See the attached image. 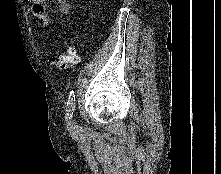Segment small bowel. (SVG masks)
<instances>
[{"instance_id":"small-bowel-1","label":"small bowel","mask_w":221,"mask_h":174,"mask_svg":"<svg viewBox=\"0 0 221 174\" xmlns=\"http://www.w3.org/2000/svg\"><path fill=\"white\" fill-rule=\"evenodd\" d=\"M33 3L32 13L37 19L41 27H48L51 24V16L46 11L45 0H30ZM57 5V10L60 14H67L71 5L67 0H53Z\"/></svg>"}]
</instances>
